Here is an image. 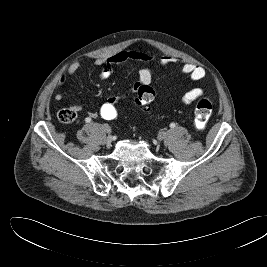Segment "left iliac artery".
I'll return each instance as SVG.
<instances>
[{"instance_id": "obj_1", "label": "left iliac artery", "mask_w": 267, "mask_h": 267, "mask_svg": "<svg viewBox=\"0 0 267 267\" xmlns=\"http://www.w3.org/2000/svg\"><path fill=\"white\" fill-rule=\"evenodd\" d=\"M175 126H176L175 123H171V124H170V127H171V128H174Z\"/></svg>"}]
</instances>
